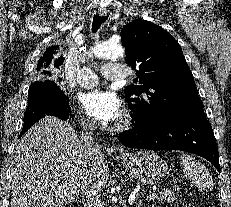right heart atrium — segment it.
<instances>
[{
	"label": "right heart atrium",
	"instance_id": "obj_1",
	"mask_svg": "<svg viewBox=\"0 0 231 207\" xmlns=\"http://www.w3.org/2000/svg\"><path fill=\"white\" fill-rule=\"evenodd\" d=\"M81 120H82V122H83V124H84L85 126H87V127H90V126H91V121H90L87 117L82 116V117H81Z\"/></svg>",
	"mask_w": 231,
	"mask_h": 207
}]
</instances>
